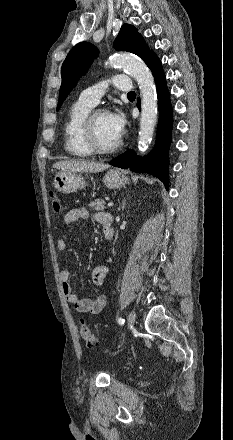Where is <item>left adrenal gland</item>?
I'll return each instance as SVG.
<instances>
[{"instance_id": "obj_1", "label": "left adrenal gland", "mask_w": 233, "mask_h": 440, "mask_svg": "<svg viewBox=\"0 0 233 440\" xmlns=\"http://www.w3.org/2000/svg\"><path fill=\"white\" fill-rule=\"evenodd\" d=\"M125 202H126V200L124 199V200L122 201V207H121L122 209H124L125 206H126V203H125Z\"/></svg>"}]
</instances>
